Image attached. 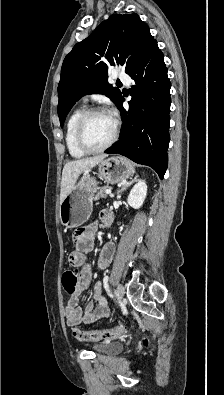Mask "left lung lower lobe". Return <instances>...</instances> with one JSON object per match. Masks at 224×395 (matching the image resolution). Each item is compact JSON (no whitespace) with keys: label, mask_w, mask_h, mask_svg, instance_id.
I'll return each mask as SVG.
<instances>
[{"label":"left lung lower lobe","mask_w":224,"mask_h":395,"mask_svg":"<svg viewBox=\"0 0 224 395\" xmlns=\"http://www.w3.org/2000/svg\"><path fill=\"white\" fill-rule=\"evenodd\" d=\"M135 82L130 89L129 109L124 97L117 104L123 127L119 141L106 153H118L152 167L162 179L167 169L170 87L164 55L152 42L127 73Z\"/></svg>","instance_id":"left-lung-lower-lobe-1"}]
</instances>
